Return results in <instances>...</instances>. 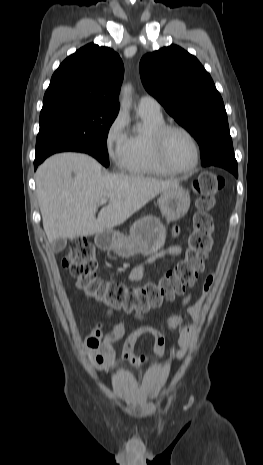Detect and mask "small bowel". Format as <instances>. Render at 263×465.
Instances as JSON below:
<instances>
[{"instance_id": "c3829d8e", "label": "small bowel", "mask_w": 263, "mask_h": 465, "mask_svg": "<svg viewBox=\"0 0 263 465\" xmlns=\"http://www.w3.org/2000/svg\"><path fill=\"white\" fill-rule=\"evenodd\" d=\"M172 237L175 238L179 234L178 227L172 229ZM182 248L178 244L170 245L169 247L161 250L160 252L149 257L144 263H141L134 267L129 275L130 280L140 281L144 274V269L147 264H151L156 260L163 258L165 256H178L181 254ZM213 283V276L209 275L205 278L203 282V296L194 304H190L192 293L189 292L185 294L179 301L180 306L187 307L189 315L194 320H200L203 314V304L205 296L207 295L210 287ZM113 311L109 309L102 319L97 323L94 330V337L101 335L102 331L106 327L107 323L111 319ZM134 317L140 321L142 324L132 330L131 332L127 331V325L125 322L119 323L116 327L107 332L105 340L102 343H96L91 347L94 350L96 367L100 371H111L116 370L119 366V362L115 357L114 343L118 340L125 338L122 352V360L132 366L134 369L138 370L141 367L149 364V359L144 355H136L135 347L138 340L144 335H150L154 341V353L157 356L163 354L165 339L162 333L156 329L154 326V317L152 315L134 313ZM175 317L170 318L169 322L171 325L174 324ZM192 329H185L181 332L178 343L180 345V350L176 354V359H181L184 357L192 336Z\"/></svg>"}]
</instances>
